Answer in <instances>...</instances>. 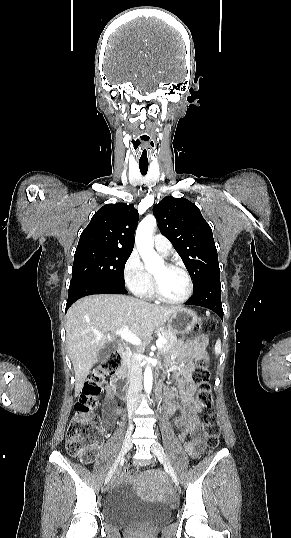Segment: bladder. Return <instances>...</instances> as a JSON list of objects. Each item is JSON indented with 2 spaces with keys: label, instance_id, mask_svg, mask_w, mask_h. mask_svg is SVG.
I'll use <instances>...</instances> for the list:
<instances>
[{
  "label": "bladder",
  "instance_id": "obj_1",
  "mask_svg": "<svg viewBox=\"0 0 291 538\" xmlns=\"http://www.w3.org/2000/svg\"><path fill=\"white\" fill-rule=\"evenodd\" d=\"M105 520L116 526H127L134 521L157 522L169 517L171 511L164 504L140 499L131 484L120 483L107 494L103 503Z\"/></svg>",
  "mask_w": 291,
  "mask_h": 538
}]
</instances>
